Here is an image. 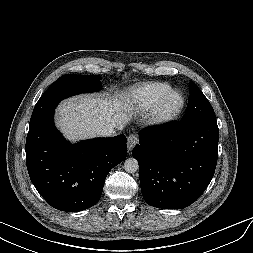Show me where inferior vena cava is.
<instances>
[{
    "label": "inferior vena cava",
    "instance_id": "602c4592",
    "mask_svg": "<svg viewBox=\"0 0 253 253\" xmlns=\"http://www.w3.org/2000/svg\"><path fill=\"white\" fill-rule=\"evenodd\" d=\"M97 134L104 137H110L114 136L116 134V131L114 130V127L109 125L105 126L97 131Z\"/></svg>",
    "mask_w": 253,
    "mask_h": 253
}]
</instances>
